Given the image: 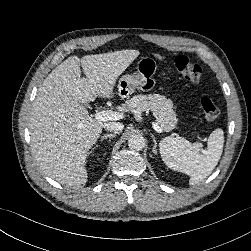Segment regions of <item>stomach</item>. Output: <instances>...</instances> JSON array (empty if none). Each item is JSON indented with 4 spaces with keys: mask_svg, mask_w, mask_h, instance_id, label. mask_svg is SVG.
Masks as SVG:
<instances>
[{
    "mask_svg": "<svg viewBox=\"0 0 251 251\" xmlns=\"http://www.w3.org/2000/svg\"><path fill=\"white\" fill-rule=\"evenodd\" d=\"M137 73L123 75L118 81V94L122 98L128 97L135 89L150 91L155 87L156 81L153 78L157 63L151 57H142L137 62Z\"/></svg>",
    "mask_w": 251,
    "mask_h": 251,
    "instance_id": "0dacf381",
    "label": "stomach"
}]
</instances>
